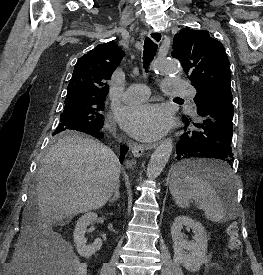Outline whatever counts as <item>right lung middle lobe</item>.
<instances>
[{"instance_id":"1","label":"right lung middle lobe","mask_w":263,"mask_h":275,"mask_svg":"<svg viewBox=\"0 0 263 275\" xmlns=\"http://www.w3.org/2000/svg\"><path fill=\"white\" fill-rule=\"evenodd\" d=\"M104 96L78 95L65 99L60 123L53 132V141L62 138L64 132L100 130L103 125Z\"/></svg>"}]
</instances>
